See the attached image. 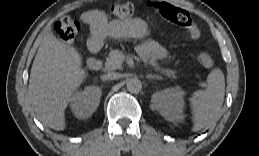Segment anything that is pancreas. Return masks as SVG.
I'll return each instance as SVG.
<instances>
[{
  "mask_svg": "<svg viewBox=\"0 0 259 156\" xmlns=\"http://www.w3.org/2000/svg\"><path fill=\"white\" fill-rule=\"evenodd\" d=\"M143 55H147L151 58V65L154 67L155 70L160 71L161 73L167 75L168 77L175 78V72L171 69H162L160 68L159 64L156 61V56L154 53V47L152 44H146L143 46L142 49ZM126 59L125 54L119 50H112L105 62V70L106 71H113L116 69H121L124 60Z\"/></svg>",
  "mask_w": 259,
  "mask_h": 156,
  "instance_id": "pancreas-1",
  "label": "pancreas"
}]
</instances>
